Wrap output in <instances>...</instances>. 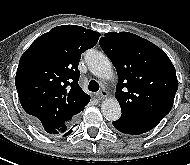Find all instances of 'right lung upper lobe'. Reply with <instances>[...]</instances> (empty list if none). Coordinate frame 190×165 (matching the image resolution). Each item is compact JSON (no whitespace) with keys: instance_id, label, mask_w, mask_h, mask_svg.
I'll use <instances>...</instances> for the list:
<instances>
[{"instance_id":"cb5924a9","label":"right lung upper lobe","mask_w":190,"mask_h":165,"mask_svg":"<svg viewBox=\"0 0 190 165\" xmlns=\"http://www.w3.org/2000/svg\"><path fill=\"white\" fill-rule=\"evenodd\" d=\"M100 33L63 25L37 38L20 58L16 89L23 109L49 134H70L90 96L78 84L81 54L96 45Z\"/></svg>"}]
</instances>
